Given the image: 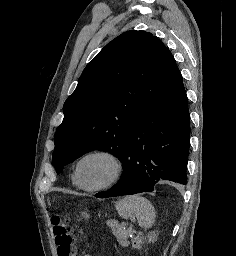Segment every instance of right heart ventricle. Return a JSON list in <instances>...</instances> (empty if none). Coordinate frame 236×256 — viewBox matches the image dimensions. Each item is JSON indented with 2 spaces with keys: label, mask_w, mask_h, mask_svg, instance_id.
<instances>
[{
  "label": "right heart ventricle",
  "mask_w": 236,
  "mask_h": 256,
  "mask_svg": "<svg viewBox=\"0 0 236 256\" xmlns=\"http://www.w3.org/2000/svg\"><path fill=\"white\" fill-rule=\"evenodd\" d=\"M75 167H76V164L73 165L72 167V171H71V182H72V185L73 186H78V183H77V180H76V176H75Z\"/></svg>",
  "instance_id": "e07e8e85"
}]
</instances>
